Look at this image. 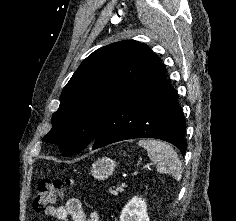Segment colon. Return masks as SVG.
<instances>
[{"mask_svg":"<svg viewBox=\"0 0 236 221\" xmlns=\"http://www.w3.org/2000/svg\"><path fill=\"white\" fill-rule=\"evenodd\" d=\"M73 186L71 178L43 180L39 183L34 200V208L37 211H43L53 205L58 196L64 193Z\"/></svg>","mask_w":236,"mask_h":221,"instance_id":"colon-1","label":"colon"}]
</instances>
